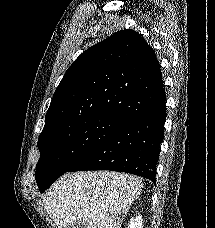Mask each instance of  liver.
<instances>
[{"label": "liver", "mask_w": 215, "mask_h": 228, "mask_svg": "<svg viewBox=\"0 0 215 228\" xmlns=\"http://www.w3.org/2000/svg\"><path fill=\"white\" fill-rule=\"evenodd\" d=\"M142 188V180L131 174L74 172L59 178L42 204L57 228H121Z\"/></svg>", "instance_id": "liver-1"}]
</instances>
